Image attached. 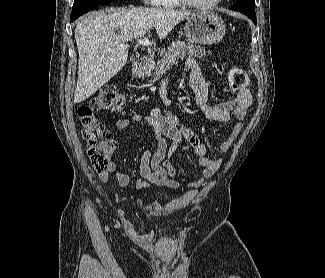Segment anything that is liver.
<instances>
[{
	"mask_svg": "<svg viewBox=\"0 0 325 278\" xmlns=\"http://www.w3.org/2000/svg\"><path fill=\"white\" fill-rule=\"evenodd\" d=\"M190 15L174 9L132 7L92 12L82 18L75 28L79 62L74 102L91 97L124 67L128 51L121 45L144 36L152 26L159 39H164Z\"/></svg>",
	"mask_w": 325,
	"mask_h": 278,
	"instance_id": "obj_1",
	"label": "liver"
}]
</instances>
